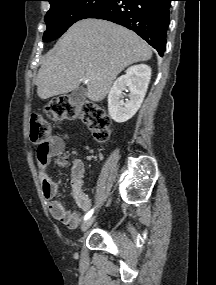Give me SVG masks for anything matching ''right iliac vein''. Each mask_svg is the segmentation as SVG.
<instances>
[{"instance_id": "obj_1", "label": "right iliac vein", "mask_w": 216, "mask_h": 285, "mask_svg": "<svg viewBox=\"0 0 216 285\" xmlns=\"http://www.w3.org/2000/svg\"><path fill=\"white\" fill-rule=\"evenodd\" d=\"M95 217H90L89 219H87L81 226V230L84 232L86 231L94 222Z\"/></svg>"}]
</instances>
